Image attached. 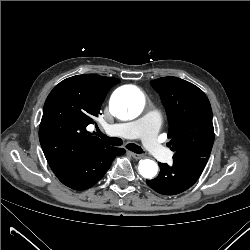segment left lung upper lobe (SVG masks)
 Instances as JSON below:
<instances>
[{
  "label": "left lung upper lobe",
  "mask_w": 250,
  "mask_h": 250,
  "mask_svg": "<svg viewBox=\"0 0 250 250\" xmlns=\"http://www.w3.org/2000/svg\"><path fill=\"white\" fill-rule=\"evenodd\" d=\"M160 94L169 121L168 143L173 159L208 160L214 142L212 109L206 95L195 85L169 76L151 81Z\"/></svg>",
  "instance_id": "1"
}]
</instances>
